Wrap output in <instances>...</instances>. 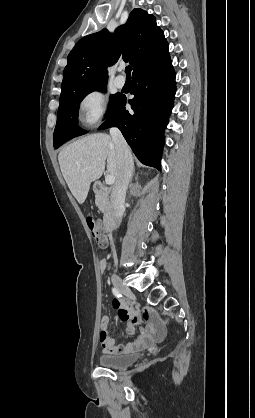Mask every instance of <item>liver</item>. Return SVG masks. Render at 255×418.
Segmentation results:
<instances>
[{
    "instance_id": "6515ba94",
    "label": "liver",
    "mask_w": 255,
    "mask_h": 418,
    "mask_svg": "<svg viewBox=\"0 0 255 418\" xmlns=\"http://www.w3.org/2000/svg\"><path fill=\"white\" fill-rule=\"evenodd\" d=\"M58 160L62 175L79 204L85 202L91 182L102 176L105 165L107 173L117 177L116 147L112 137L105 133L74 141L60 151Z\"/></svg>"
}]
</instances>
